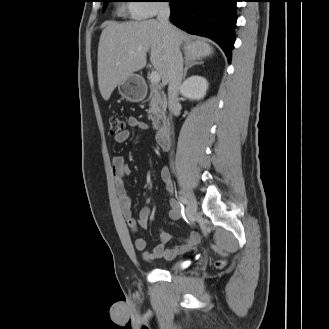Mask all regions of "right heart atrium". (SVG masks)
<instances>
[{
	"instance_id": "right-heart-atrium-1",
	"label": "right heart atrium",
	"mask_w": 329,
	"mask_h": 329,
	"mask_svg": "<svg viewBox=\"0 0 329 329\" xmlns=\"http://www.w3.org/2000/svg\"><path fill=\"white\" fill-rule=\"evenodd\" d=\"M163 0H132L129 12L134 19H146L156 15L162 8Z\"/></svg>"
}]
</instances>
